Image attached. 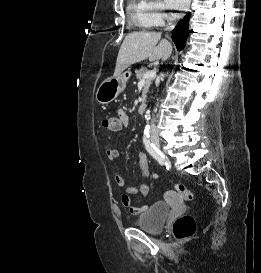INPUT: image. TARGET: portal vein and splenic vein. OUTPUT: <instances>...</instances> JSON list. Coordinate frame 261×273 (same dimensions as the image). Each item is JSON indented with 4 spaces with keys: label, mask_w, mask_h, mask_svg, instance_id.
I'll return each mask as SVG.
<instances>
[{
    "label": "portal vein and splenic vein",
    "mask_w": 261,
    "mask_h": 273,
    "mask_svg": "<svg viewBox=\"0 0 261 273\" xmlns=\"http://www.w3.org/2000/svg\"><path fill=\"white\" fill-rule=\"evenodd\" d=\"M156 76V71L155 70H150L147 73L144 74L143 79L146 80L148 78H153Z\"/></svg>",
    "instance_id": "obj_1"
}]
</instances>
